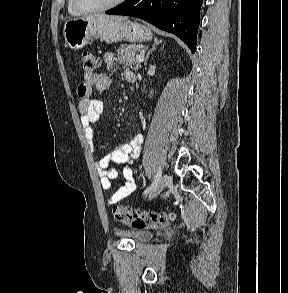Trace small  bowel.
Listing matches in <instances>:
<instances>
[{
    "instance_id": "c3829d8e",
    "label": "small bowel",
    "mask_w": 288,
    "mask_h": 293,
    "mask_svg": "<svg viewBox=\"0 0 288 293\" xmlns=\"http://www.w3.org/2000/svg\"><path fill=\"white\" fill-rule=\"evenodd\" d=\"M104 65L108 70L115 67V57L112 53H106L103 57ZM124 77L128 82H135L136 77L131 71H125ZM111 85V78L102 72H93L84 75V81L77 88L80 97L78 110L84 136L89 146L94 148L95 126L98 124L103 112L105 103L102 99L91 98L93 88L99 91L108 89ZM143 137L137 134L128 143L114 147L108 154L102 156L97 161V170L100 177L101 186L109 191L112 181L118 177L116 169L110 168V163L121 164L124 166L122 175L125 183L115 192L108 196L110 204H116L126 198L136 190L135 176L138 170L134 167L135 160L140 155Z\"/></svg>"
}]
</instances>
